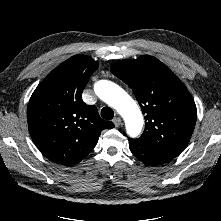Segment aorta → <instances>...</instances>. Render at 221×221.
<instances>
[{"label":"aorta","mask_w":221,"mask_h":221,"mask_svg":"<svg viewBox=\"0 0 221 221\" xmlns=\"http://www.w3.org/2000/svg\"><path fill=\"white\" fill-rule=\"evenodd\" d=\"M96 95L117 110L123 117L126 132L130 137H137L143 127V116L136 102L117 84L100 80L95 83Z\"/></svg>","instance_id":"aorta-1"}]
</instances>
